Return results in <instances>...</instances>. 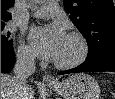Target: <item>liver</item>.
Segmentation results:
<instances>
[{
    "instance_id": "1",
    "label": "liver",
    "mask_w": 115,
    "mask_h": 99,
    "mask_svg": "<svg viewBox=\"0 0 115 99\" xmlns=\"http://www.w3.org/2000/svg\"><path fill=\"white\" fill-rule=\"evenodd\" d=\"M13 78L12 76L1 74V99H16ZM24 97V99H35L34 90L31 86H28Z\"/></svg>"
}]
</instances>
